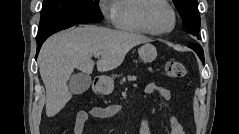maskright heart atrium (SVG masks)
Segmentation results:
<instances>
[{
  "label": "right heart atrium",
  "mask_w": 239,
  "mask_h": 134,
  "mask_svg": "<svg viewBox=\"0 0 239 134\" xmlns=\"http://www.w3.org/2000/svg\"><path fill=\"white\" fill-rule=\"evenodd\" d=\"M100 10L104 16V18L108 21V22H114V17H115V10H114V6L106 1H103L100 4Z\"/></svg>",
  "instance_id": "right-heart-atrium-1"
}]
</instances>
